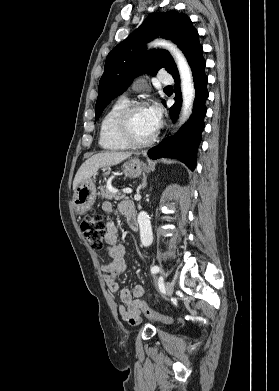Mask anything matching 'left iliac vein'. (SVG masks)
<instances>
[{
  "mask_svg": "<svg viewBox=\"0 0 279 391\" xmlns=\"http://www.w3.org/2000/svg\"><path fill=\"white\" fill-rule=\"evenodd\" d=\"M174 291V285L171 281L165 282V298L170 297L173 294Z\"/></svg>",
  "mask_w": 279,
  "mask_h": 391,
  "instance_id": "1",
  "label": "left iliac vein"
}]
</instances>
